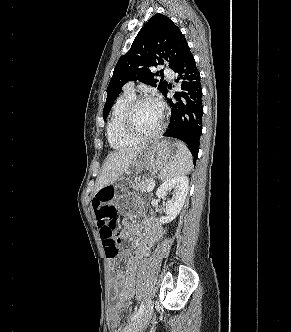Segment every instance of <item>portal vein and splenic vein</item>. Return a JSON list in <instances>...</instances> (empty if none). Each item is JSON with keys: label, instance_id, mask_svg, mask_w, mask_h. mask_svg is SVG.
<instances>
[{"label": "portal vein and splenic vein", "instance_id": "obj_1", "mask_svg": "<svg viewBox=\"0 0 291 332\" xmlns=\"http://www.w3.org/2000/svg\"><path fill=\"white\" fill-rule=\"evenodd\" d=\"M154 187H155V181H152V182L149 184V186H148V188H147V191H148V192L152 191Z\"/></svg>", "mask_w": 291, "mask_h": 332}]
</instances>
